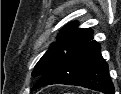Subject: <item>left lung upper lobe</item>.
Here are the masks:
<instances>
[{
    "label": "left lung upper lobe",
    "instance_id": "5c2ea615",
    "mask_svg": "<svg viewBox=\"0 0 121 94\" xmlns=\"http://www.w3.org/2000/svg\"><path fill=\"white\" fill-rule=\"evenodd\" d=\"M93 39L91 29H78L76 23L65 26L59 34L57 41L52 43L47 52L36 64L32 76H41L58 61L73 51L79 49Z\"/></svg>",
    "mask_w": 121,
    "mask_h": 94
}]
</instances>
